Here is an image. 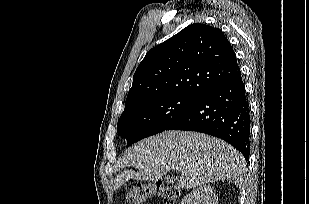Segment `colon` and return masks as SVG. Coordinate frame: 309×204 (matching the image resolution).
Masks as SVG:
<instances>
[{"label":"colon","instance_id":"5ec220e1","mask_svg":"<svg viewBox=\"0 0 309 204\" xmlns=\"http://www.w3.org/2000/svg\"><path fill=\"white\" fill-rule=\"evenodd\" d=\"M155 196L162 198L166 204H174L179 189L162 181L142 183L130 188L127 201L129 204H143Z\"/></svg>","mask_w":309,"mask_h":204}]
</instances>
